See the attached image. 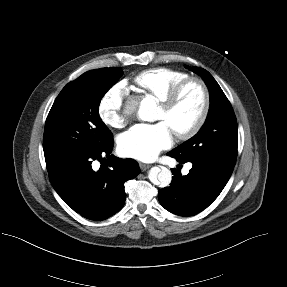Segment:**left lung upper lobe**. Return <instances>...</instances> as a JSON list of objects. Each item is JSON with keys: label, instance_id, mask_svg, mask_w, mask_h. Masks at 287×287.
<instances>
[{"label": "left lung upper lobe", "instance_id": "left-lung-upper-lobe-1", "mask_svg": "<svg viewBox=\"0 0 287 287\" xmlns=\"http://www.w3.org/2000/svg\"><path fill=\"white\" fill-rule=\"evenodd\" d=\"M186 67L199 74L208 86L210 109L200 131L171 152L182 158L204 155L235 166L238 126L232 106L208 71L198 67Z\"/></svg>", "mask_w": 287, "mask_h": 287}]
</instances>
